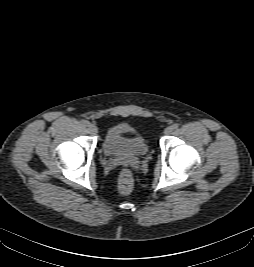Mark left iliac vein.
I'll return each mask as SVG.
<instances>
[{"instance_id": "left-iliac-vein-1", "label": "left iliac vein", "mask_w": 254, "mask_h": 267, "mask_svg": "<svg viewBox=\"0 0 254 267\" xmlns=\"http://www.w3.org/2000/svg\"><path fill=\"white\" fill-rule=\"evenodd\" d=\"M174 128L173 126H168L165 130H164V134L165 135H170L173 132Z\"/></svg>"}]
</instances>
